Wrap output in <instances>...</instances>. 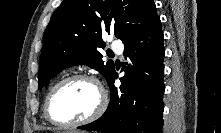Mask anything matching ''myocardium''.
I'll return each mask as SVG.
<instances>
[{
	"label": "myocardium",
	"mask_w": 221,
	"mask_h": 133,
	"mask_svg": "<svg viewBox=\"0 0 221 133\" xmlns=\"http://www.w3.org/2000/svg\"><path fill=\"white\" fill-rule=\"evenodd\" d=\"M75 80H85V81H89V82L93 83L99 92V102H98L96 108L94 109V111L89 116H87L81 120L73 121V122L56 121L55 119L52 118L51 113H50V108H49L50 99H51L53 93L60 86H62L65 83H68L70 81H75ZM106 107H107V96H106L105 90H104L103 86L101 85L100 81L92 75H89L86 73H77V74L69 75V76L59 80L57 83H55L50 88V90L48 91V93L45 97V101H44V115H45V118L51 124H53L57 127L73 128V127L83 126V125H86L88 123L95 121L104 113Z\"/></svg>",
	"instance_id": "f54148a6"
}]
</instances>
